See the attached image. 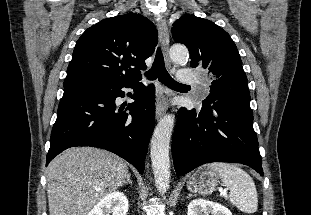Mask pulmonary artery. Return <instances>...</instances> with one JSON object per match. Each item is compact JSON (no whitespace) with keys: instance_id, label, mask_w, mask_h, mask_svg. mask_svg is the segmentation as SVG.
I'll return each mask as SVG.
<instances>
[{"instance_id":"obj_1","label":"pulmonary artery","mask_w":311,"mask_h":215,"mask_svg":"<svg viewBox=\"0 0 311 215\" xmlns=\"http://www.w3.org/2000/svg\"><path fill=\"white\" fill-rule=\"evenodd\" d=\"M178 79L182 83L200 84L203 88H207V83L204 80L187 69L179 70Z\"/></svg>"}]
</instances>
